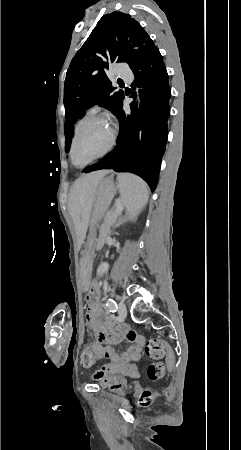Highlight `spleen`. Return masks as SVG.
<instances>
[{"label": "spleen", "mask_w": 241, "mask_h": 450, "mask_svg": "<svg viewBox=\"0 0 241 450\" xmlns=\"http://www.w3.org/2000/svg\"><path fill=\"white\" fill-rule=\"evenodd\" d=\"M118 188L130 218L138 216L149 200L148 186L134 174H118Z\"/></svg>", "instance_id": "3e777b00"}]
</instances>
